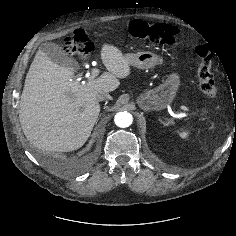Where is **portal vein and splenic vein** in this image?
<instances>
[{"instance_id":"portal-vein-and-splenic-vein-1","label":"portal vein and splenic vein","mask_w":236,"mask_h":236,"mask_svg":"<svg viewBox=\"0 0 236 236\" xmlns=\"http://www.w3.org/2000/svg\"><path fill=\"white\" fill-rule=\"evenodd\" d=\"M91 74L92 75L89 77V80L95 78L99 74V69L93 68ZM181 109L184 111H190V109L185 106H181Z\"/></svg>"}]
</instances>
